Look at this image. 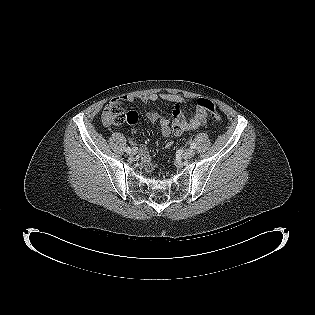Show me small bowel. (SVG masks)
Returning a JSON list of instances; mask_svg holds the SVG:
<instances>
[{
	"label": "small bowel",
	"mask_w": 315,
	"mask_h": 315,
	"mask_svg": "<svg viewBox=\"0 0 315 315\" xmlns=\"http://www.w3.org/2000/svg\"><path fill=\"white\" fill-rule=\"evenodd\" d=\"M136 98L133 96H123L120 98L122 101L133 102ZM141 103H149L156 101H167L171 102L174 105L172 111V119L169 120L165 117H162L156 111H148L147 118L153 122L158 123L160 127V133L163 137H169L171 134L175 136L182 135L185 131L194 130L207 121V110L198 106L196 107L193 115L187 117L181 107L186 104V100L177 94L172 93H151L147 95H142L137 98ZM166 147H170V143L166 144ZM141 160L145 166V169L150 172L154 168V161L146 153V151L141 152Z\"/></svg>",
	"instance_id": "small-bowel-1"
}]
</instances>
